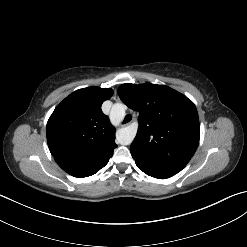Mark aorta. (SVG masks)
Returning a JSON list of instances; mask_svg holds the SVG:
<instances>
[{
	"label": "aorta",
	"mask_w": 247,
	"mask_h": 247,
	"mask_svg": "<svg viewBox=\"0 0 247 247\" xmlns=\"http://www.w3.org/2000/svg\"><path fill=\"white\" fill-rule=\"evenodd\" d=\"M125 105L121 103H116L112 106L110 116L114 122H120L125 117ZM137 132V127L130 125L124 128H121L117 132V140L121 145H129L135 138Z\"/></svg>",
	"instance_id": "aorta-1"
}]
</instances>
